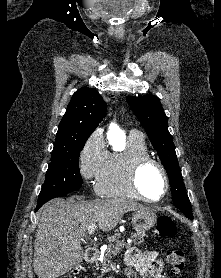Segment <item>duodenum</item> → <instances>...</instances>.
<instances>
[{"instance_id": "1", "label": "duodenum", "mask_w": 221, "mask_h": 278, "mask_svg": "<svg viewBox=\"0 0 221 278\" xmlns=\"http://www.w3.org/2000/svg\"><path fill=\"white\" fill-rule=\"evenodd\" d=\"M99 253L98 250L95 247H88L85 251V260L87 264H91L95 261V259L98 257ZM82 269V266H78L75 269V272L78 273Z\"/></svg>"}]
</instances>
